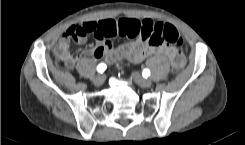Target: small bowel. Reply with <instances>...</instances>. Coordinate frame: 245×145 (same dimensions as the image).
<instances>
[{
  "mask_svg": "<svg viewBox=\"0 0 245 145\" xmlns=\"http://www.w3.org/2000/svg\"><path fill=\"white\" fill-rule=\"evenodd\" d=\"M129 22H138L143 24L149 21L139 22L133 18H122L119 20L110 18L89 20L84 23L92 27L96 39V45L93 48H87L82 50L79 54H73L70 51L69 41H67L64 44L59 43L55 49V52L58 53L61 50L65 51V58L63 60L68 68H73L78 59L86 56H106L109 59L124 58L132 63L137 64L150 56L164 54L170 60L179 58L183 62L182 55H180L175 49L164 45L154 46L141 40L135 41L133 43L113 44L111 39L108 37L109 33L113 30L118 31L120 29L121 23ZM85 41L86 38H82L78 40V43L82 44Z\"/></svg>",
  "mask_w": 245,
  "mask_h": 145,
  "instance_id": "1",
  "label": "small bowel"
}]
</instances>
